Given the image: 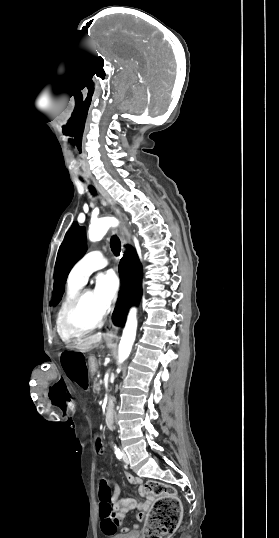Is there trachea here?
I'll list each match as a JSON object with an SVG mask.
<instances>
[{"mask_svg":"<svg viewBox=\"0 0 279 538\" xmlns=\"http://www.w3.org/2000/svg\"><path fill=\"white\" fill-rule=\"evenodd\" d=\"M89 191L93 196L96 195V190L91 185L89 186ZM110 247H111V250H112V252L114 253L115 256H118L120 254L121 244H120L119 238L116 235H113L111 237V239H110Z\"/></svg>","mask_w":279,"mask_h":538,"instance_id":"1","label":"trachea"}]
</instances>
